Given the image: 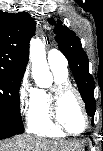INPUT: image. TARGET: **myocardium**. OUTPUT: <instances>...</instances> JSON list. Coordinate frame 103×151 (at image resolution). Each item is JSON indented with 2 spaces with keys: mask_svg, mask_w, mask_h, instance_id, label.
Here are the masks:
<instances>
[{
  "mask_svg": "<svg viewBox=\"0 0 103 151\" xmlns=\"http://www.w3.org/2000/svg\"><path fill=\"white\" fill-rule=\"evenodd\" d=\"M69 93H72L78 99L84 114L85 124L84 128L80 132L71 131L61 120L60 118V105L63 97ZM49 117L50 121L55 128L58 130L73 136H78L83 134L89 127V113L87 110L86 103L80 94V92L68 84H54L49 90Z\"/></svg>",
  "mask_w": 103,
  "mask_h": 151,
  "instance_id": "1",
  "label": "myocardium"
}]
</instances>
